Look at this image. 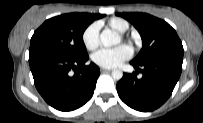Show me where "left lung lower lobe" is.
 Here are the masks:
<instances>
[{
    "label": "left lung lower lobe",
    "mask_w": 203,
    "mask_h": 123,
    "mask_svg": "<svg viewBox=\"0 0 203 123\" xmlns=\"http://www.w3.org/2000/svg\"><path fill=\"white\" fill-rule=\"evenodd\" d=\"M182 63L181 57L158 58L141 64L131 62L136 70L132 74H123L117 83L119 97L129 107L141 112L157 109L172 94ZM139 72L142 78H137Z\"/></svg>",
    "instance_id": "0a47b994"
}]
</instances>
